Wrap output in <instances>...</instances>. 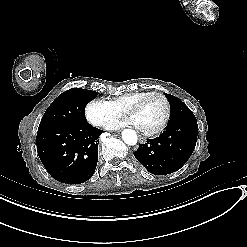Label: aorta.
Wrapping results in <instances>:
<instances>
[{
    "instance_id": "762f6f07",
    "label": "aorta",
    "mask_w": 247,
    "mask_h": 247,
    "mask_svg": "<svg viewBox=\"0 0 247 247\" xmlns=\"http://www.w3.org/2000/svg\"><path fill=\"white\" fill-rule=\"evenodd\" d=\"M122 139L128 145H135L137 143L136 132L132 129H125L122 132Z\"/></svg>"
}]
</instances>
